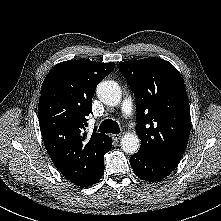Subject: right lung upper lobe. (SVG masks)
<instances>
[{
	"label": "right lung upper lobe",
	"instance_id": "obj_1",
	"mask_svg": "<svg viewBox=\"0 0 221 221\" xmlns=\"http://www.w3.org/2000/svg\"><path fill=\"white\" fill-rule=\"evenodd\" d=\"M115 63L69 60L56 64L41 89L38 115L46 149L57 169L72 183L86 184L104 165L109 136L85 132L96 86Z\"/></svg>",
	"mask_w": 221,
	"mask_h": 221
}]
</instances>
